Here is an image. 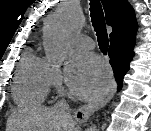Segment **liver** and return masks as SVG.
I'll use <instances>...</instances> for the list:
<instances>
[{
    "mask_svg": "<svg viewBox=\"0 0 151 131\" xmlns=\"http://www.w3.org/2000/svg\"><path fill=\"white\" fill-rule=\"evenodd\" d=\"M6 129L7 131H75L65 119L64 112L55 106L19 109L9 117Z\"/></svg>",
    "mask_w": 151,
    "mask_h": 131,
    "instance_id": "liver-1",
    "label": "liver"
}]
</instances>
